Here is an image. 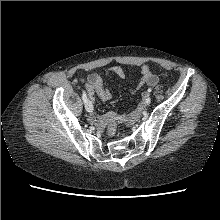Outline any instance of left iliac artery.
<instances>
[{"instance_id":"obj_1","label":"left iliac artery","mask_w":220,"mask_h":220,"mask_svg":"<svg viewBox=\"0 0 220 220\" xmlns=\"http://www.w3.org/2000/svg\"><path fill=\"white\" fill-rule=\"evenodd\" d=\"M149 93L152 91V89L151 88H148V90H147ZM146 102L147 103H150L151 102V100H149V99H146Z\"/></svg>"}]
</instances>
